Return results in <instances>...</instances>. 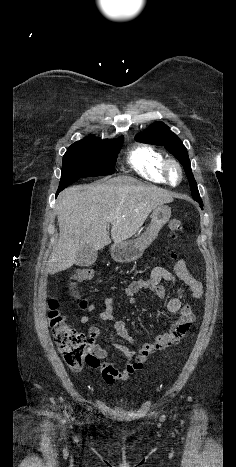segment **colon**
Wrapping results in <instances>:
<instances>
[{"label":"colon","instance_id":"1","mask_svg":"<svg viewBox=\"0 0 236 467\" xmlns=\"http://www.w3.org/2000/svg\"><path fill=\"white\" fill-rule=\"evenodd\" d=\"M169 229L172 237L180 239L186 234L185 226L180 219L174 218L169 221ZM173 259L176 254H172ZM94 276V269L90 267H82L77 269L72 277V293L76 296V291L73 287L74 282L80 280H88ZM88 303L85 300L80 302V307L85 309ZM49 322L53 330L54 340L60 354L63 357L66 365L73 371H80L84 364H87L88 353L86 337L73 329L67 322L65 316L58 309V302L55 299L49 301Z\"/></svg>","mask_w":236,"mask_h":467}]
</instances>
